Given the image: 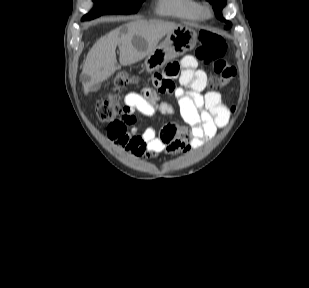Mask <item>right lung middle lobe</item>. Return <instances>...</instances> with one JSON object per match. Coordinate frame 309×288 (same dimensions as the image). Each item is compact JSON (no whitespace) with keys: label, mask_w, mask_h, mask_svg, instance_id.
Returning a JSON list of instances; mask_svg holds the SVG:
<instances>
[{"label":"right lung middle lobe","mask_w":309,"mask_h":288,"mask_svg":"<svg viewBox=\"0 0 309 288\" xmlns=\"http://www.w3.org/2000/svg\"><path fill=\"white\" fill-rule=\"evenodd\" d=\"M96 7L83 17L91 20L103 14H133L136 13L144 0H93Z\"/></svg>","instance_id":"right-lung-middle-lobe-1"}]
</instances>
